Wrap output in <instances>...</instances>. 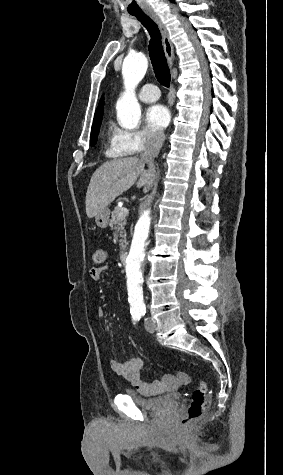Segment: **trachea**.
<instances>
[{"mask_svg": "<svg viewBox=\"0 0 283 475\" xmlns=\"http://www.w3.org/2000/svg\"><path fill=\"white\" fill-rule=\"evenodd\" d=\"M130 15L142 23L150 35L149 40V56L151 64L158 82L164 87L170 86L171 74L167 63L163 45L161 42V34L157 24L144 12H133Z\"/></svg>", "mask_w": 283, "mask_h": 475, "instance_id": "trachea-1", "label": "trachea"}]
</instances>
